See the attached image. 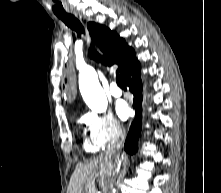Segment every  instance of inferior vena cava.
Masks as SVG:
<instances>
[{
  "label": "inferior vena cava",
  "mask_w": 221,
  "mask_h": 193,
  "mask_svg": "<svg viewBox=\"0 0 221 193\" xmlns=\"http://www.w3.org/2000/svg\"><path fill=\"white\" fill-rule=\"evenodd\" d=\"M124 140H125V132L119 127L117 131L113 134L112 141L108 147V152L113 153L115 155L116 170L113 173V176H115V174H118L119 172L121 164L119 150L122 148ZM112 181L113 179L111 180L110 190L113 188Z\"/></svg>",
  "instance_id": "inferior-vena-cava-1"
}]
</instances>
